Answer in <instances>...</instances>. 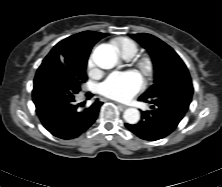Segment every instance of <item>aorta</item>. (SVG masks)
<instances>
[{"label":"aorta","instance_id":"762f6f07","mask_svg":"<svg viewBox=\"0 0 222 187\" xmlns=\"http://www.w3.org/2000/svg\"><path fill=\"white\" fill-rule=\"evenodd\" d=\"M93 60L102 69H111L118 61L116 48L110 44H100L93 51ZM128 124H136L140 120V112L136 108H128L123 114Z\"/></svg>","mask_w":222,"mask_h":187}]
</instances>
